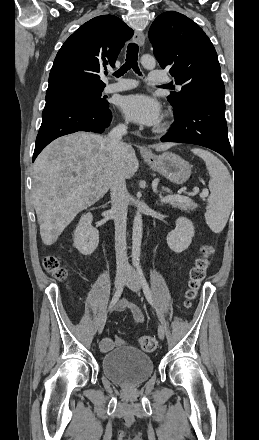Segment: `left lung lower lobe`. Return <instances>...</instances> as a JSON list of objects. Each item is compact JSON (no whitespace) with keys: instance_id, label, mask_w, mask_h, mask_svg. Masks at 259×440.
<instances>
[{"instance_id":"obj_1","label":"left lung lower lobe","mask_w":259,"mask_h":440,"mask_svg":"<svg viewBox=\"0 0 259 440\" xmlns=\"http://www.w3.org/2000/svg\"><path fill=\"white\" fill-rule=\"evenodd\" d=\"M171 130L162 142L190 143L220 153L233 167V155L228 140L224 98L201 94L190 99L185 109L174 114Z\"/></svg>"}]
</instances>
